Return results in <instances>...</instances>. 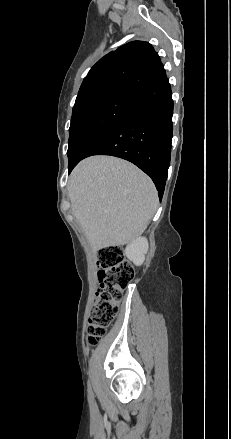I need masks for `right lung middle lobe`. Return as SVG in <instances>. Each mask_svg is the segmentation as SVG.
<instances>
[{"label":"right lung middle lobe","mask_w":231,"mask_h":439,"mask_svg":"<svg viewBox=\"0 0 231 439\" xmlns=\"http://www.w3.org/2000/svg\"><path fill=\"white\" fill-rule=\"evenodd\" d=\"M139 112L135 94L131 93L105 95L74 107L69 128V163L79 158L84 148L100 132Z\"/></svg>","instance_id":"right-lung-middle-lobe-1"}]
</instances>
